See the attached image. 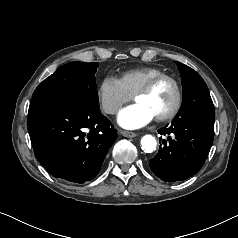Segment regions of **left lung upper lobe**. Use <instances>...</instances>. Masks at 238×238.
I'll list each match as a JSON object with an SVG mask.
<instances>
[{
	"mask_svg": "<svg viewBox=\"0 0 238 238\" xmlns=\"http://www.w3.org/2000/svg\"><path fill=\"white\" fill-rule=\"evenodd\" d=\"M181 74L183 101L175 119L215 118L214 105L208 87L192 68L176 61Z\"/></svg>",
	"mask_w": 238,
	"mask_h": 238,
	"instance_id": "obj_1",
	"label": "left lung upper lobe"
}]
</instances>
